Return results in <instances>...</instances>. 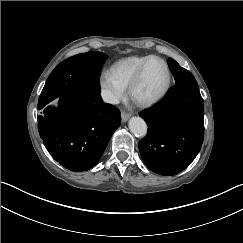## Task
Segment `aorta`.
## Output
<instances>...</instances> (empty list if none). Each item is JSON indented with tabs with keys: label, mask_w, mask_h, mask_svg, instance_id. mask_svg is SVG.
<instances>
[{
	"label": "aorta",
	"mask_w": 243,
	"mask_h": 243,
	"mask_svg": "<svg viewBox=\"0 0 243 243\" xmlns=\"http://www.w3.org/2000/svg\"><path fill=\"white\" fill-rule=\"evenodd\" d=\"M128 127L136 137H144L147 133V124L141 117H132L129 120Z\"/></svg>",
	"instance_id": "aorta-1"
}]
</instances>
